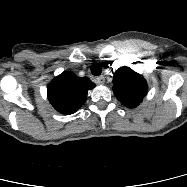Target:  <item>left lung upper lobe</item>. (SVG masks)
<instances>
[{
  "mask_svg": "<svg viewBox=\"0 0 187 187\" xmlns=\"http://www.w3.org/2000/svg\"><path fill=\"white\" fill-rule=\"evenodd\" d=\"M112 89L124 106L135 108L147 94L148 87L142 75L124 66L115 71Z\"/></svg>",
  "mask_w": 187,
  "mask_h": 187,
  "instance_id": "left-lung-upper-lobe-1",
  "label": "left lung upper lobe"
}]
</instances>
